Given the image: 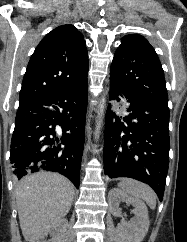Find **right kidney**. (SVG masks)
I'll return each instance as SVG.
<instances>
[{
    "instance_id": "1",
    "label": "right kidney",
    "mask_w": 187,
    "mask_h": 242,
    "mask_svg": "<svg viewBox=\"0 0 187 242\" xmlns=\"http://www.w3.org/2000/svg\"><path fill=\"white\" fill-rule=\"evenodd\" d=\"M67 220L60 219L56 224L50 226L44 232H42L34 242H61L62 236L67 228ZM50 234L52 237L50 240L46 241L45 237Z\"/></svg>"
}]
</instances>
